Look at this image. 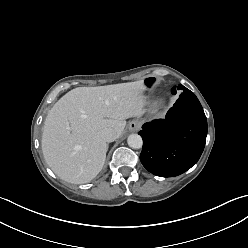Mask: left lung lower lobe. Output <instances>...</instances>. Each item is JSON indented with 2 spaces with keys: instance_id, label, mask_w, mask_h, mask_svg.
<instances>
[{
  "instance_id": "obj_1",
  "label": "left lung lower lobe",
  "mask_w": 248,
  "mask_h": 248,
  "mask_svg": "<svg viewBox=\"0 0 248 248\" xmlns=\"http://www.w3.org/2000/svg\"><path fill=\"white\" fill-rule=\"evenodd\" d=\"M138 134L143 139V166L160 177L177 176L199 160L206 142L207 119L197 97L185 89L165 119L145 123Z\"/></svg>"
}]
</instances>
